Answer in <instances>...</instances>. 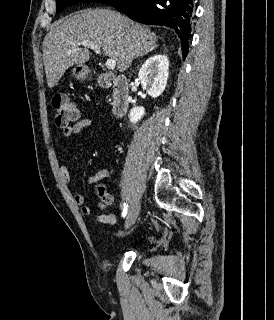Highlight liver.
<instances>
[{"instance_id": "1", "label": "liver", "mask_w": 274, "mask_h": 320, "mask_svg": "<svg viewBox=\"0 0 274 320\" xmlns=\"http://www.w3.org/2000/svg\"><path fill=\"white\" fill-rule=\"evenodd\" d=\"M82 42L101 48L113 58L119 72H126L134 58L151 52L158 38L147 26H141L110 8L80 10L57 22L43 42V64L48 88H54L64 72L74 64L89 62L90 52Z\"/></svg>"}]
</instances>
